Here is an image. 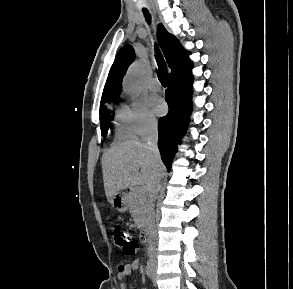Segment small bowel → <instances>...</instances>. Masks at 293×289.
I'll return each mask as SVG.
<instances>
[{
  "label": "small bowel",
  "mask_w": 293,
  "mask_h": 289,
  "mask_svg": "<svg viewBox=\"0 0 293 289\" xmlns=\"http://www.w3.org/2000/svg\"><path fill=\"white\" fill-rule=\"evenodd\" d=\"M140 267V263L139 262H134L130 265V270H136ZM122 276L125 275V273H121ZM123 289H127V287L124 285Z\"/></svg>",
  "instance_id": "obj_1"
}]
</instances>
